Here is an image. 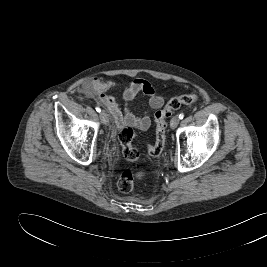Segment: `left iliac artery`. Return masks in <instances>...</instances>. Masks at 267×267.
I'll return each instance as SVG.
<instances>
[{
  "label": "left iliac artery",
  "mask_w": 267,
  "mask_h": 267,
  "mask_svg": "<svg viewBox=\"0 0 267 267\" xmlns=\"http://www.w3.org/2000/svg\"><path fill=\"white\" fill-rule=\"evenodd\" d=\"M183 118H184V114L181 113V114L179 115V119H183Z\"/></svg>",
  "instance_id": "1"
}]
</instances>
